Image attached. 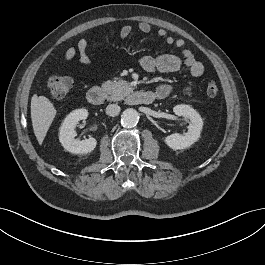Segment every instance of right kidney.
Returning a JSON list of instances; mask_svg holds the SVG:
<instances>
[{
	"label": "right kidney",
	"instance_id": "obj_1",
	"mask_svg": "<svg viewBox=\"0 0 265 265\" xmlns=\"http://www.w3.org/2000/svg\"><path fill=\"white\" fill-rule=\"evenodd\" d=\"M88 117L86 109H76L69 113L63 121L59 131V141L67 151L74 154H87L96 147V139L88 138L85 140L75 139V127L80 120Z\"/></svg>",
	"mask_w": 265,
	"mask_h": 265
}]
</instances>
